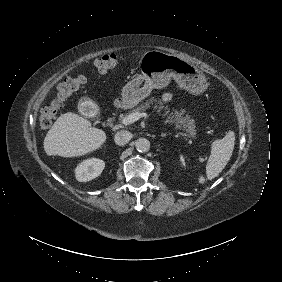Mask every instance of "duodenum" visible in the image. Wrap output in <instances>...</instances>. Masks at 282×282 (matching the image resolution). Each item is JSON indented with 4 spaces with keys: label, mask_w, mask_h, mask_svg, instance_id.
<instances>
[{
    "label": "duodenum",
    "mask_w": 282,
    "mask_h": 282,
    "mask_svg": "<svg viewBox=\"0 0 282 282\" xmlns=\"http://www.w3.org/2000/svg\"><path fill=\"white\" fill-rule=\"evenodd\" d=\"M121 106H122L121 102H117V103H116V107L119 108V107H121Z\"/></svg>",
    "instance_id": "obj_1"
}]
</instances>
